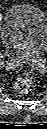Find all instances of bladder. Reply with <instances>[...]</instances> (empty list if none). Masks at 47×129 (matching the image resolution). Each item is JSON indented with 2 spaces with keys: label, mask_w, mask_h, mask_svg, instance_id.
Returning <instances> with one entry per match:
<instances>
[{
  "label": "bladder",
  "mask_w": 47,
  "mask_h": 129,
  "mask_svg": "<svg viewBox=\"0 0 47 129\" xmlns=\"http://www.w3.org/2000/svg\"><path fill=\"white\" fill-rule=\"evenodd\" d=\"M47 31L46 14L32 3H19L10 7L1 24L4 46L14 52L28 54L40 47Z\"/></svg>",
  "instance_id": "1"
}]
</instances>
